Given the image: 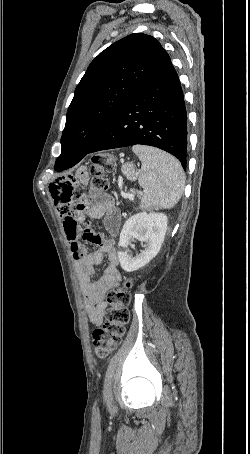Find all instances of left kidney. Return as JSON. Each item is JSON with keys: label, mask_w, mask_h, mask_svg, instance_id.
Listing matches in <instances>:
<instances>
[{"label": "left kidney", "mask_w": 250, "mask_h": 454, "mask_svg": "<svg viewBox=\"0 0 250 454\" xmlns=\"http://www.w3.org/2000/svg\"><path fill=\"white\" fill-rule=\"evenodd\" d=\"M167 223V216L158 212H140L125 221L118 243V258L124 271H136L158 254L165 238ZM135 239L145 242V249L133 257L129 254L128 245Z\"/></svg>", "instance_id": "obj_1"}]
</instances>
